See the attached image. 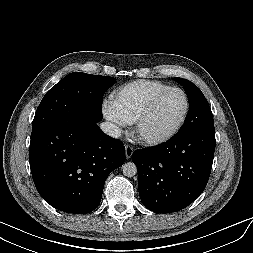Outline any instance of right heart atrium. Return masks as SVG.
<instances>
[{
    "instance_id": "d8ad5b80",
    "label": "right heart atrium",
    "mask_w": 253,
    "mask_h": 253,
    "mask_svg": "<svg viewBox=\"0 0 253 253\" xmlns=\"http://www.w3.org/2000/svg\"><path fill=\"white\" fill-rule=\"evenodd\" d=\"M103 113L107 120L114 123L118 127L125 126V122L122 119L120 113L115 107L113 101H106L103 105Z\"/></svg>"
}]
</instances>
